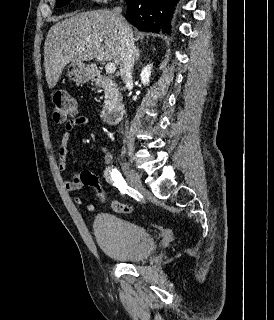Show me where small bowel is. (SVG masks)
<instances>
[{
    "instance_id": "small-bowel-1",
    "label": "small bowel",
    "mask_w": 274,
    "mask_h": 320,
    "mask_svg": "<svg viewBox=\"0 0 274 320\" xmlns=\"http://www.w3.org/2000/svg\"><path fill=\"white\" fill-rule=\"evenodd\" d=\"M88 124H89V119L85 116H75L65 124L63 133L61 135L59 148H58V170L60 172L66 171L68 167V152H69L68 146H69V141H70L72 132L74 131L75 128L80 126H86ZM101 150L105 152L104 165L106 168H109L112 164V160H113L112 156L106 151L105 148L101 147ZM82 172H85L88 175H92V173L89 171H82ZM64 185L66 190L68 191H77V190H80L82 187L86 186L83 183L77 182V181H66ZM74 201L78 205L84 204V198L80 195L75 196ZM84 209L87 212H93L95 209V206L93 203H86L84 205Z\"/></svg>"
}]
</instances>
